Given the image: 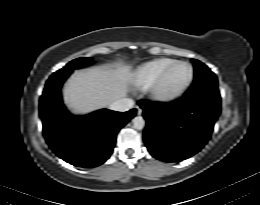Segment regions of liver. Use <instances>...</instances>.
Wrapping results in <instances>:
<instances>
[{
  "instance_id": "6515ba94",
  "label": "liver",
  "mask_w": 260,
  "mask_h": 205,
  "mask_svg": "<svg viewBox=\"0 0 260 205\" xmlns=\"http://www.w3.org/2000/svg\"><path fill=\"white\" fill-rule=\"evenodd\" d=\"M134 73L129 65L94 67L76 71L63 88V100L75 115H84L124 98Z\"/></svg>"
}]
</instances>
